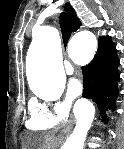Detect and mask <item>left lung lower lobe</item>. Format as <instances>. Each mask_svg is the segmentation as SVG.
<instances>
[{
  "label": "left lung lower lobe",
  "instance_id": "obj_1",
  "mask_svg": "<svg viewBox=\"0 0 124 149\" xmlns=\"http://www.w3.org/2000/svg\"><path fill=\"white\" fill-rule=\"evenodd\" d=\"M116 45L109 36L99 38V46L94 59L82 67L83 97L96 102L103 121L107 122L106 111L115 109L118 96L119 58Z\"/></svg>",
  "mask_w": 124,
  "mask_h": 149
}]
</instances>
